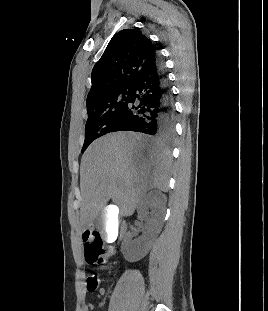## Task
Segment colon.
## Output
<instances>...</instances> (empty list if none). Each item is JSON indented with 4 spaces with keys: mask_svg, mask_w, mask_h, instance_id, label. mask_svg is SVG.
I'll return each mask as SVG.
<instances>
[{
    "mask_svg": "<svg viewBox=\"0 0 268 311\" xmlns=\"http://www.w3.org/2000/svg\"><path fill=\"white\" fill-rule=\"evenodd\" d=\"M84 256L87 263L97 266H105L108 260L115 254L114 248L107 246L100 232L94 228L87 229L83 233ZM100 280L96 275H89L87 288L95 291Z\"/></svg>",
    "mask_w": 268,
    "mask_h": 311,
    "instance_id": "5ec220e1",
    "label": "colon"
}]
</instances>
